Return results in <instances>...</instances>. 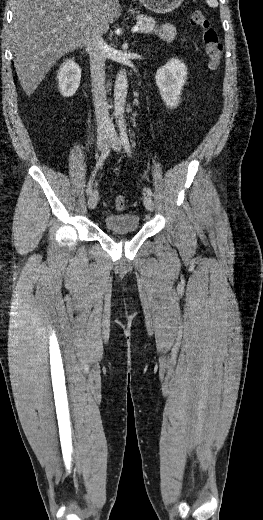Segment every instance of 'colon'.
<instances>
[{
    "label": "colon",
    "instance_id": "5ec220e1",
    "mask_svg": "<svg viewBox=\"0 0 263 520\" xmlns=\"http://www.w3.org/2000/svg\"><path fill=\"white\" fill-rule=\"evenodd\" d=\"M190 23L199 28L203 33V44L209 69L212 71L218 70L223 47L216 30L211 25L209 19L200 10H194L191 13ZM114 203L118 210H123L126 207V200L121 195L115 198Z\"/></svg>",
    "mask_w": 263,
    "mask_h": 520
}]
</instances>
